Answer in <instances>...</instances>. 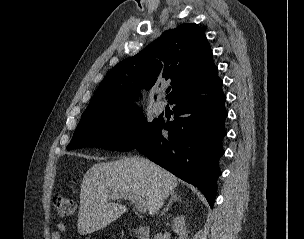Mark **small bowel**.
I'll return each mask as SVG.
<instances>
[{
  "label": "small bowel",
  "instance_id": "obj_1",
  "mask_svg": "<svg viewBox=\"0 0 304 239\" xmlns=\"http://www.w3.org/2000/svg\"><path fill=\"white\" fill-rule=\"evenodd\" d=\"M66 226L63 223H59L53 233L51 234L52 239H61L62 234L65 232Z\"/></svg>",
  "mask_w": 304,
  "mask_h": 239
}]
</instances>
